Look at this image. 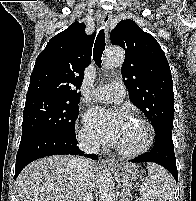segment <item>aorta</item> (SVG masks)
I'll use <instances>...</instances> for the list:
<instances>
[{
	"label": "aorta",
	"mask_w": 196,
	"mask_h": 201,
	"mask_svg": "<svg viewBox=\"0 0 196 201\" xmlns=\"http://www.w3.org/2000/svg\"><path fill=\"white\" fill-rule=\"evenodd\" d=\"M124 58L125 53L121 47H110L104 53L103 63L109 69L119 67ZM99 201H115V185L107 169H103L99 175Z\"/></svg>",
	"instance_id": "aorta-1"
}]
</instances>
